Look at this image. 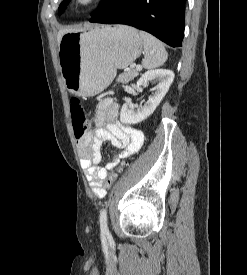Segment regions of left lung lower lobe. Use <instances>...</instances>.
Masks as SVG:
<instances>
[{"label": "left lung lower lobe", "mask_w": 247, "mask_h": 275, "mask_svg": "<svg viewBox=\"0 0 247 275\" xmlns=\"http://www.w3.org/2000/svg\"><path fill=\"white\" fill-rule=\"evenodd\" d=\"M186 0H110L89 21L126 24L147 31L169 46H182Z\"/></svg>", "instance_id": "obj_1"}]
</instances>
